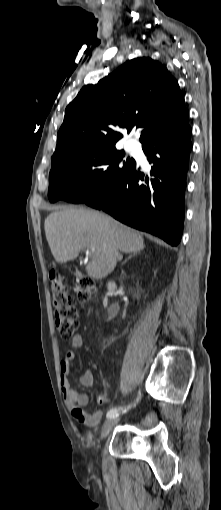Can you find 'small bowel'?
I'll return each mask as SVG.
<instances>
[{"label": "small bowel", "mask_w": 221, "mask_h": 510, "mask_svg": "<svg viewBox=\"0 0 221 510\" xmlns=\"http://www.w3.org/2000/svg\"><path fill=\"white\" fill-rule=\"evenodd\" d=\"M69 344L72 349L66 352L63 360L60 362V384L64 402L74 419L84 425L93 427L100 423L103 417V411L99 410L94 413L86 412L83 407L88 404L89 395L87 393H78L69 381L71 364L76 358L75 350L80 349L83 346L82 336L80 334L74 335L70 339ZM79 382L80 385L85 388L92 386L94 382L93 373L90 370H85L81 375ZM103 397V403L109 401V397L107 395L104 394Z\"/></svg>", "instance_id": "c3829d8e"}]
</instances>
